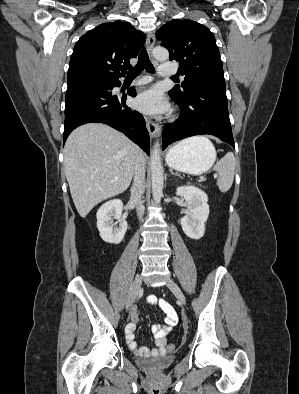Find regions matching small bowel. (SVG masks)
Masks as SVG:
<instances>
[{
  "label": "small bowel",
  "instance_id": "1",
  "mask_svg": "<svg viewBox=\"0 0 299 394\" xmlns=\"http://www.w3.org/2000/svg\"><path fill=\"white\" fill-rule=\"evenodd\" d=\"M147 301L159 307L165 314L164 324H152L150 326V331L154 334L155 347L153 349L141 347L134 340V331L138 321V311L136 308H132L130 312V322L126 326L125 336L130 349L136 355L140 357H157L165 353L167 336L176 326L178 315L175 308L160 296L151 295L148 297Z\"/></svg>",
  "mask_w": 299,
  "mask_h": 394
}]
</instances>
